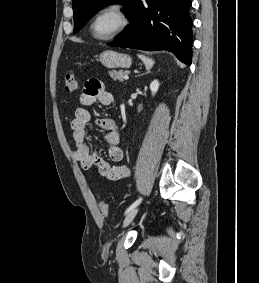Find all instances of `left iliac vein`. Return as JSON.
<instances>
[{
  "instance_id": "1",
  "label": "left iliac vein",
  "mask_w": 259,
  "mask_h": 283,
  "mask_svg": "<svg viewBox=\"0 0 259 283\" xmlns=\"http://www.w3.org/2000/svg\"><path fill=\"white\" fill-rule=\"evenodd\" d=\"M138 211H139V208L135 207L125 216L124 221H123V227H127L132 222V220L137 215Z\"/></svg>"
}]
</instances>
